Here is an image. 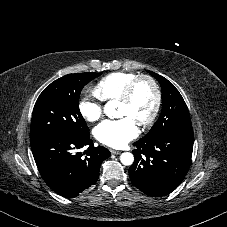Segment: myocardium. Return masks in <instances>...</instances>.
<instances>
[{
  "instance_id": "obj_1",
  "label": "myocardium",
  "mask_w": 227,
  "mask_h": 227,
  "mask_svg": "<svg viewBox=\"0 0 227 227\" xmlns=\"http://www.w3.org/2000/svg\"><path fill=\"white\" fill-rule=\"evenodd\" d=\"M142 81L148 82L154 91L153 108H152L150 114L138 124L141 127H145V126L151 124L155 120V118L157 117L158 112L160 110V106H161V90H160L158 83L156 82V80L153 77H151L149 75H145V74L135 77L126 86L122 95L118 98V102L123 103V104L129 103L134 96V93H135V90H136L138 84Z\"/></svg>"
}]
</instances>
